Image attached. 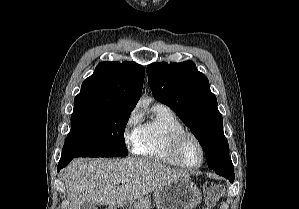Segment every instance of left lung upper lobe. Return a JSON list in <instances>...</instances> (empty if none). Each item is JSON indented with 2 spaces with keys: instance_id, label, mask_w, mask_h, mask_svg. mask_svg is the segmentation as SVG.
Instances as JSON below:
<instances>
[{
  "instance_id": "5c2ea615",
  "label": "left lung upper lobe",
  "mask_w": 299,
  "mask_h": 209,
  "mask_svg": "<svg viewBox=\"0 0 299 209\" xmlns=\"http://www.w3.org/2000/svg\"><path fill=\"white\" fill-rule=\"evenodd\" d=\"M147 74L154 98L169 106L190 128L204 148L209 168L216 169L230 161L216 96L195 63H153L147 67Z\"/></svg>"
}]
</instances>
